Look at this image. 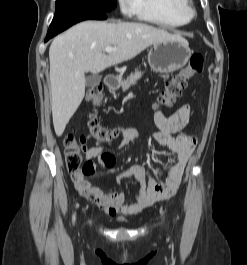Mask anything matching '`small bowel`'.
<instances>
[{
  "mask_svg": "<svg viewBox=\"0 0 247 265\" xmlns=\"http://www.w3.org/2000/svg\"><path fill=\"white\" fill-rule=\"evenodd\" d=\"M191 111L192 107L187 103L170 116L164 115L161 109L154 114V121L159 131L151 135V140L159 145L167 146L176 155V162L169 169L164 182L159 183L155 180L150 167L134 164L122 171L116 179L118 184L128 178L135 181L137 191L133 202H126L125 194L121 191H104L91 185L86 180L89 174L83 173L71 175L78 193L94 202L110 216L137 214L159 200L172 197L180 186L184 169L197 145V139L193 136L176 135L189 123ZM137 138V132L128 129L122 136V143L125 146ZM86 162L92 165L94 171L96 167H113L116 158L112 153L104 151L102 147L94 146L86 152Z\"/></svg>",
  "mask_w": 247,
  "mask_h": 265,
  "instance_id": "small-bowel-1",
  "label": "small bowel"
}]
</instances>
